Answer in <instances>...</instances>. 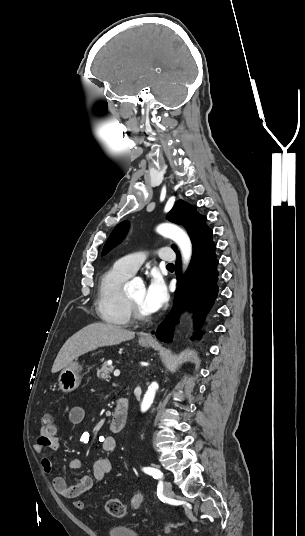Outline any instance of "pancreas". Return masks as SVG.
I'll use <instances>...</instances> for the list:
<instances>
[{
	"mask_svg": "<svg viewBox=\"0 0 305 536\" xmlns=\"http://www.w3.org/2000/svg\"><path fill=\"white\" fill-rule=\"evenodd\" d=\"M113 370V366H108V362H104L100 370H97V376L98 378H101V380H107V378L110 380V374H112Z\"/></svg>",
	"mask_w": 305,
	"mask_h": 536,
	"instance_id": "obj_1",
	"label": "pancreas"
}]
</instances>
